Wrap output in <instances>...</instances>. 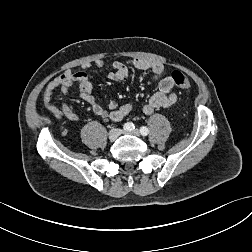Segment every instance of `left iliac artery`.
<instances>
[{
  "label": "left iliac artery",
  "mask_w": 252,
  "mask_h": 252,
  "mask_svg": "<svg viewBox=\"0 0 252 252\" xmlns=\"http://www.w3.org/2000/svg\"><path fill=\"white\" fill-rule=\"evenodd\" d=\"M140 133H141V135L146 136V135H148L149 130L147 127L143 126L140 128Z\"/></svg>",
  "instance_id": "44dca946"
}]
</instances>
